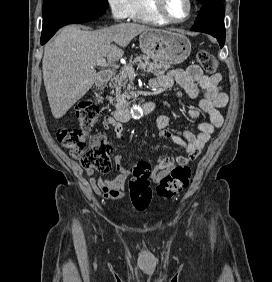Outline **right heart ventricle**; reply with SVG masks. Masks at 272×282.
<instances>
[{
	"mask_svg": "<svg viewBox=\"0 0 272 282\" xmlns=\"http://www.w3.org/2000/svg\"><path fill=\"white\" fill-rule=\"evenodd\" d=\"M136 13L130 18L154 25H165L169 22L163 19L153 8L151 0H135Z\"/></svg>",
	"mask_w": 272,
	"mask_h": 282,
	"instance_id": "right-heart-ventricle-1",
	"label": "right heart ventricle"
}]
</instances>
